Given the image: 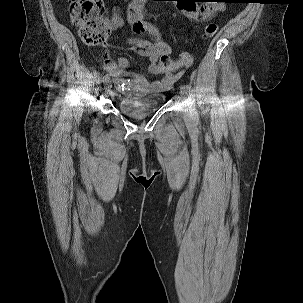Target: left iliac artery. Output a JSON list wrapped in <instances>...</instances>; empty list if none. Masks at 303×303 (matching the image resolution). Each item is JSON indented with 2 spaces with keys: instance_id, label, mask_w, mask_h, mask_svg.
<instances>
[{
  "instance_id": "1",
  "label": "left iliac artery",
  "mask_w": 303,
  "mask_h": 303,
  "mask_svg": "<svg viewBox=\"0 0 303 303\" xmlns=\"http://www.w3.org/2000/svg\"><path fill=\"white\" fill-rule=\"evenodd\" d=\"M183 89L185 90L186 94H188L189 99L194 102L195 101V94L193 92V89H192L191 85L190 84H185V85H183ZM193 118L195 120L198 119V112H197V109H196L195 105H194V108H193Z\"/></svg>"
}]
</instances>
